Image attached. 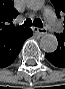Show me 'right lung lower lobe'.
Here are the masks:
<instances>
[{"mask_svg": "<svg viewBox=\"0 0 65 89\" xmlns=\"http://www.w3.org/2000/svg\"><path fill=\"white\" fill-rule=\"evenodd\" d=\"M32 36L31 29H23L19 33L0 37V68L9 66L18 56L25 40Z\"/></svg>", "mask_w": 65, "mask_h": 89, "instance_id": "obj_1", "label": "right lung lower lobe"}]
</instances>
